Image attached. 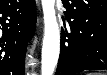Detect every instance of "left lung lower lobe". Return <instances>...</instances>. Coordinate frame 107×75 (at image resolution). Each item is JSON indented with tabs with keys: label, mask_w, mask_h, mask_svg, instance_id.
<instances>
[{
	"label": "left lung lower lobe",
	"mask_w": 107,
	"mask_h": 75,
	"mask_svg": "<svg viewBox=\"0 0 107 75\" xmlns=\"http://www.w3.org/2000/svg\"><path fill=\"white\" fill-rule=\"evenodd\" d=\"M66 11L61 30V48L55 75H73L84 70H107V4L82 10L83 5L103 0H62ZM81 16L83 37L70 35L73 14Z\"/></svg>",
	"instance_id": "0a47b994"
}]
</instances>
